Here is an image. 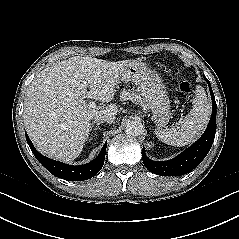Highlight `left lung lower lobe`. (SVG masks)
Instances as JSON below:
<instances>
[{
  "label": "left lung lower lobe",
  "mask_w": 239,
  "mask_h": 239,
  "mask_svg": "<svg viewBox=\"0 0 239 239\" xmlns=\"http://www.w3.org/2000/svg\"><path fill=\"white\" fill-rule=\"evenodd\" d=\"M209 85V90L212 99V115L209 124L202 135V137L196 141L191 147L186 149L180 155L169 161H152L150 160L143 148L142 160L146 168L157 175L162 176H177L183 175L194 168H196L208 154L216 133V109L217 105L215 102L214 93L212 91L210 82L205 78Z\"/></svg>",
  "instance_id": "1"
}]
</instances>
